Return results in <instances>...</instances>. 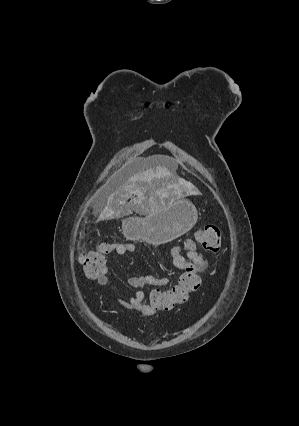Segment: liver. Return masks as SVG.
Here are the masks:
<instances>
[{
    "mask_svg": "<svg viewBox=\"0 0 299 426\" xmlns=\"http://www.w3.org/2000/svg\"><path fill=\"white\" fill-rule=\"evenodd\" d=\"M171 178H173L172 173L167 167L161 165H157L155 170L150 168L132 175L107 197V202L99 215L98 221L128 215L133 210L138 209L155 210L172 187ZM133 194L137 198L127 202ZM158 197L161 199L160 202L157 201Z\"/></svg>",
    "mask_w": 299,
    "mask_h": 426,
    "instance_id": "6515ba94",
    "label": "liver"
}]
</instances>
